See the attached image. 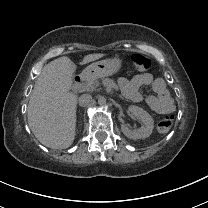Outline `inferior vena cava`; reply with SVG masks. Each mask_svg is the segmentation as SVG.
Wrapping results in <instances>:
<instances>
[{
  "instance_id": "inferior-vena-cava-1",
  "label": "inferior vena cava",
  "mask_w": 208,
  "mask_h": 208,
  "mask_svg": "<svg viewBox=\"0 0 208 208\" xmlns=\"http://www.w3.org/2000/svg\"><path fill=\"white\" fill-rule=\"evenodd\" d=\"M93 104L92 96L90 94H82L79 97V105L82 107Z\"/></svg>"
}]
</instances>
